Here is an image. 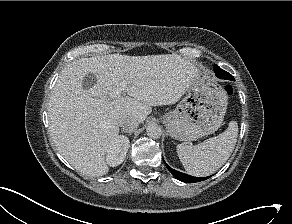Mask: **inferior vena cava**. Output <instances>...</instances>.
<instances>
[{"instance_id":"inferior-vena-cava-1","label":"inferior vena cava","mask_w":292,"mask_h":224,"mask_svg":"<svg viewBox=\"0 0 292 224\" xmlns=\"http://www.w3.org/2000/svg\"><path fill=\"white\" fill-rule=\"evenodd\" d=\"M119 126L124 130V131H134L137 129L139 123L136 119L130 116H122L120 117L119 121Z\"/></svg>"}]
</instances>
